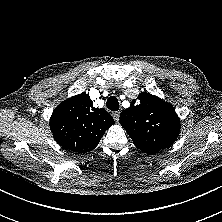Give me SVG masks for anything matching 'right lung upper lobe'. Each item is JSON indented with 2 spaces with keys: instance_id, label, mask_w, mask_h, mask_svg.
I'll use <instances>...</instances> for the list:
<instances>
[{
  "instance_id": "cb5924a9",
  "label": "right lung upper lobe",
  "mask_w": 222,
  "mask_h": 222,
  "mask_svg": "<svg viewBox=\"0 0 222 222\" xmlns=\"http://www.w3.org/2000/svg\"><path fill=\"white\" fill-rule=\"evenodd\" d=\"M113 124L114 120L106 110L93 107L87 93L59 104L50 118L55 141L64 149L80 153L94 149Z\"/></svg>"
}]
</instances>
